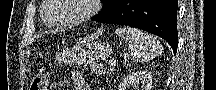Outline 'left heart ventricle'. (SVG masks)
I'll return each mask as SVG.
<instances>
[{"instance_id":"b2bd125f","label":"left heart ventricle","mask_w":216,"mask_h":90,"mask_svg":"<svg viewBox=\"0 0 216 90\" xmlns=\"http://www.w3.org/2000/svg\"><path fill=\"white\" fill-rule=\"evenodd\" d=\"M64 1L62 10H57L55 16L48 21L53 25H67L75 22L83 13L85 7L83 4L85 0H60Z\"/></svg>"}]
</instances>
